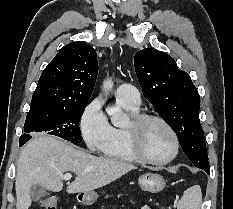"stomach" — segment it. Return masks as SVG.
I'll return each mask as SVG.
<instances>
[{"label":"stomach","mask_w":233,"mask_h":209,"mask_svg":"<svg viewBox=\"0 0 233 209\" xmlns=\"http://www.w3.org/2000/svg\"><path fill=\"white\" fill-rule=\"evenodd\" d=\"M139 186L142 190L157 193L165 187L164 178L157 173H145L141 175L138 179ZM98 199V194L96 192L83 193L82 203L86 205H92Z\"/></svg>","instance_id":"1"}]
</instances>
